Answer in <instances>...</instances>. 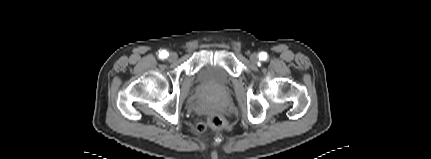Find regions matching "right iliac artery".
<instances>
[{
    "label": "right iliac artery",
    "instance_id": "1",
    "mask_svg": "<svg viewBox=\"0 0 431 159\" xmlns=\"http://www.w3.org/2000/svg\"><path fill=\"white\" fill-rule=\"evenodd\" d=\"M168 52L166 51V50H162L160 53H159V57L161 58V59H164V58H167L168 57Z\"/></svg>",
    "mask_w": 431,
    "mask_h": 159
}]
</instances>
